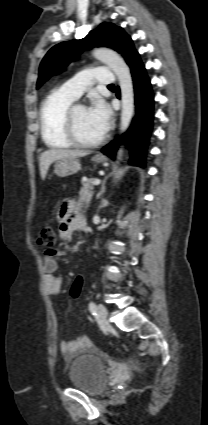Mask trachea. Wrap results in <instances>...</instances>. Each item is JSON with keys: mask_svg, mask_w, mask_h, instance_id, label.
<instances>
[{"mask_svg": "<svg viewBox=\"0 0 208 425\" xmlns=\"http://www.w3.org/2000/svg\"><path fill=\"white\" fill-rule=\"evenodd\" d=\"M108 87H114V85L113 84H110Z\"/></svg>", "mask_w": 208, "mask_h": 425, "instance_id": "3493384b", "label": "trachea"}]
</instances>
